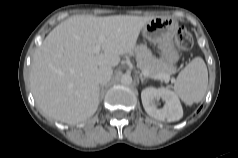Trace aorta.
<instances>
[{
	"instance_id": "obj_1",
	"label": "aorta",
	"mask_w": 238,
	"mask_h": 158,
	"mask_svg": "<svg viewBox=\"0 0 238 158\" xmlns=\"http://www.w3.org/2000/svg\"><path fill=\"white\" fill-rule=\"evenodd\" d=\"M121 83L124 85H130L132 83V77L129 74H124L121 76Z\"/></svg>"
}]
</instances>
